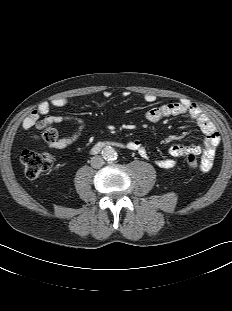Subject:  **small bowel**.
<instances>
[{"label": "small bowel", "mask_w": 232, "mask_h": 311, "mask_svg": "<svg viewBox=\"0 0 232 311\" xmlns=\"http://www.w3.org/2000/svg\"><path fill=\"white\" fill-rule=\"evenodd\" d=\"M111 93L109 91H104L103 96L109 98ZM125 97L129 96V92L125 91L123 93ZM143 99L147 103H152L156 100V96L152 93H145ZM70 99L68 97H56L49 101L42 102L38 109L31 112L23 120L22 126L25 130H31L37 125L39 127H45L53 124H59L66 121H73L76 124L75 130L62 138L56 139L49 143V146L62 150L74 143H76L82 136L85 121L80 116L62 115L54 114L49 115V111L52 107L61 108L69 103ZM43 115L45 118L39 122L40 116ZM187 115L191 120H193L201 132L204 135V139L200 144L182 145L173 144L168 149L169 157L159 158L155 160V164L165 170H169L175 167V158L183 157L190 153L201 156V169L205 172L209 171L214 162L216 147L220 142V134L216 126L212 123L209 117L202 111V109L191 104L188 101L172 102L161 106H157L149 109L145 113V118L148 122L155 123L166 117H175ZM35 139H38V133L33 134ZM127 148L129 150L137 152L142 158L148 157L147 148L144 142L139 139L130 140L127 142Z\"/></svg>", "instance_id": "c3829d8e"}]
</instances>
